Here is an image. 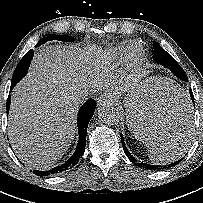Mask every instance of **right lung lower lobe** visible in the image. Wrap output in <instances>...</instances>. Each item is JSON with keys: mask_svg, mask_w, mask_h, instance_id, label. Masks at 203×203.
I'll list each match as a JSON object with an SVG mask.
<instances>
[{"mask_svg": "<svg viewBox=\"0 0 203 203\" xmlns=\"http://www.w3.org/2000/svg\"><path fill=\"white\" fill-rule=\"evenodd\" d=\"M33 55H34L33 50H29L24 55V57L21 59L20 62L23 63L24 65H30ZM13 87L14 86L11 84V89H13ZM10 102H11V98L9 96L6 103L7 112H9ZM95 108H96L95 100L90 99L83 104V106L80 108L78 112L79 141H78L76 150L74 154L70 157V159L66 161L64 164L56 166L50 170H46V171L33 170V173L35 175L48 176V175L61 173L65 170L72 168L79 162L80 158L82 157L85 151L87 127L90 119L94 114Z\"/></svg>", "mask_w": 203, "mask_h": 203, "instance_id": "98d812e1", "label": "right lung lower lobe"}]
</instances>
